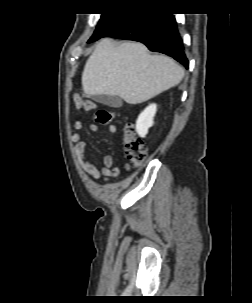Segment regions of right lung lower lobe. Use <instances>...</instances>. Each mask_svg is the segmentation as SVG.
I'll return each mask as SVG.
<instances>
[{
  "instance_id": "98d812e1",
  "label": "right lung lower lobe",
  "mask_w": 252,
  "mask_h": 303,
  "mask_svg": "<svg viewBox=\"0 0 252 303\" xmlns=\"http://www.w3.org/2000/svg\"><path fill=\"white\" fill-rule=\"evenodd\" d=\"M102 37L141 42L151 51L169 55L187 69L189 67L172 14L158 12L124 13L100 38Z\"/></svg>"
}]
</instances>
